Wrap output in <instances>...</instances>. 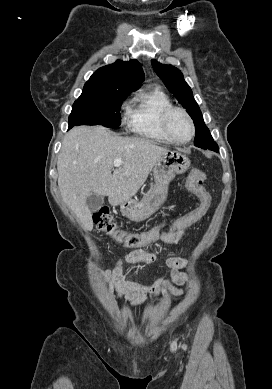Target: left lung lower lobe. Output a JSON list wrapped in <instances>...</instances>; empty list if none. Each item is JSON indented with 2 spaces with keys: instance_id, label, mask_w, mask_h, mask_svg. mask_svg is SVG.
<instances>
[{
  "instance_id": "1",
  "label": "left lung lower lobe",
  "mask_w": 272,
  "mask_h": 389,
  "mask_svg": "<svg viewBox=\"0 0 272 389\" xmlns=\"http://www.w3.org/2000/svg\"><path fill=\"white\" fill-rule=\"evenodd\" d=\"M215 152H218V145L216 147L213 148Z\"/></svg>"
}]
</instances>
